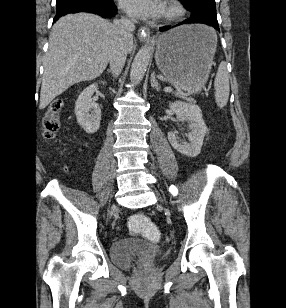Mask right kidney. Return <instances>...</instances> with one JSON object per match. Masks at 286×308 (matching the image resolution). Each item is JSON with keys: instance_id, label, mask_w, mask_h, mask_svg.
I'll use <instances>...</instances> for the list:
<instances>
[{"instance_id": "ca27d5eb", "label": "right kidney", "mask_w": 286, "mask_h": 308, "mask_svg": "<svg viewBox=\"0 0 286 308\" xmlns=\"http://www.w3.org/2000/svg\"><path fill=\"white\" fill-rule=\"evenodd\" d=\"M102 83L105 84L104 82ZM96 88L97 84L89 85L80 93L75 102L77 122L88 134L97 132L100 127L101 109L92 99Z\"/></svg>"}]
</instances>
